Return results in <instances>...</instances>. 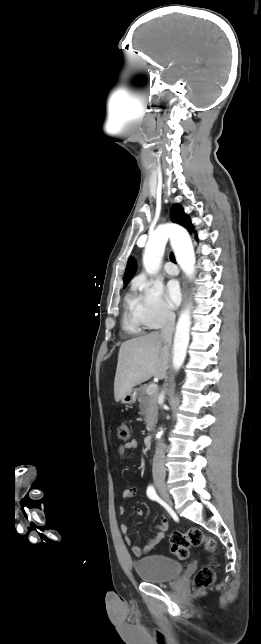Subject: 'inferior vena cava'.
Returning a JSON list of instances; mask_svg holds the SVG:
<instances>
[{"label": "inferior vena cava", "instance_id": "1", "mask_svg": "<svg viewBox=\"0 0 261 644\" xmlns=\"http://www.w3.org/2000/svg\"><path fill=\"white\" fill-rule=\"evenodd\" d=\"M175 326V314L171 311H165L164 312V322L163 326L161 328V336L165 339L166 342L171 343V338H172V332L174 330ZM165 451H164V445L159 444L157 448V453L154 456L153 459V475L156 474H165Z\"/></svg>", "mask_w": 261, "mask_h": 644}]
</instances>
